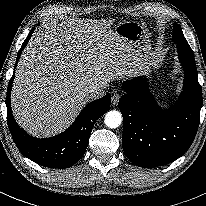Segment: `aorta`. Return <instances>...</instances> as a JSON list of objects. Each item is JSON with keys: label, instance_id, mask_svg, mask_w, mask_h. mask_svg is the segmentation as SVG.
I'll return each mask as SVG.
<instances>
[{"label": "aorta", "instance_id": "obj_1", "mask_svg": "<svg viewBox=\"0 0 206 206\" xmlns=\"http://www.w3.org/2000/svg\"><path fill=\"white\" fill-rule=\"evenodd\" d=\"M104 122L107 127L115 129L120 126L122 122V115L119 111L111 110L106 113Z\"/></svg>", "mask_w": 206, "mask_h": 206}]
</instances>
